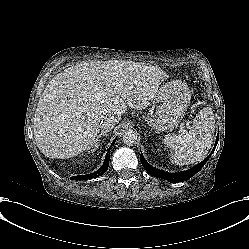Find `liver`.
Wrapping results in <instances>:
<instances>
[{"label": "liver", "mask_w": 249, "mask_h": 249, "mask_svg": "<svg viewBox=\"0 0 249 249\" xmlns=\"http://www.w3.org/2000/svg\"><path fill=\"white\" fill-rule=\"evenodd\" d=\"M162 74L126 62H89L58 74L38 102L34 136L43 154L70 158L93 147L101 123L142 110L156 96Z\"/></svg>", "instance_id": "6515ba94"}]
</instances>
